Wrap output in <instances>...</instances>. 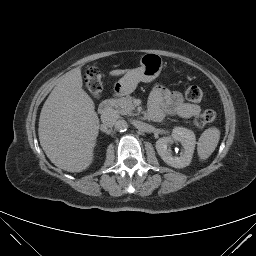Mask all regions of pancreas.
I'll return each mask as SVG.
<instances>
[{
	"label": "pancreas",
	"mask_w": 256,
	"mask_h": 256,
	"mask_svg": "<svg viewBox=\"0 0 256 256\" xmlns=\"http://www.w3.org/2000/svg\"><path fill=\"white\" fill-rule=\"evenodd\" d=\"M112 106L117 109V111L122 115H135L133 110L135 106L133 104V98L131 96L121 97L115 99Z\"/></svg>",
	"instance_id": "obj_1"
}]
</instances>
